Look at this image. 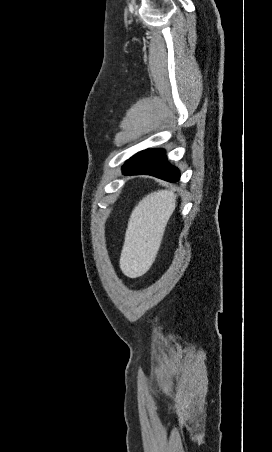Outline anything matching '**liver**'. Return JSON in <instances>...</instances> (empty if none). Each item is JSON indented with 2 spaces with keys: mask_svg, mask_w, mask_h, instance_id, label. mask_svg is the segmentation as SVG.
<instances>
[{
  "mask_svg": "<svg viewBox=\"0 0 272 452\" xmlns=\"http://www.w3.org/2000/svg\"><path fill=\"white\" fill-rule=\"evenodd\" d=\"M175 208L176 195L170 190L152 192L135 206L120 256V269L127 277H140L150 269Z\"/></svg>",
  "mask_w": 272,
  "mask_h": 452,
  "instance_id": "1",
  "label": "liver"
}]
</instances>
